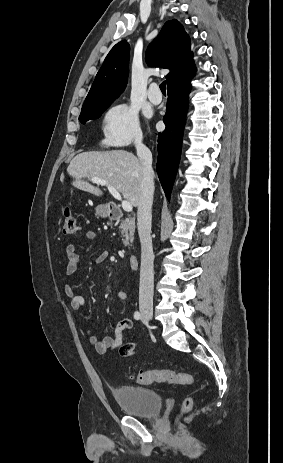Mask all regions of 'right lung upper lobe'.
Masks as SVG:
<instances>
[{
    "instance_id": "obj_1",
    "label": "right lung upper lobe",
    "mask_w": 283,
    "mask_h": 463,
    "mask_svg": "<svg viewBox=\"0 0 283 463\" xmlns=\"http://www.w3.org/2000/svg\"><path fill=\"white\" fill-rule=\"evenodd\" d=\"M130 46L126 40L117 43L98 71L83 106L116 99L127 84ZM190 38L176 19L167 21L150 43L146 60L170 70L167 87L190 80L195 74Z\"/></svg>"
}]
</instances>
